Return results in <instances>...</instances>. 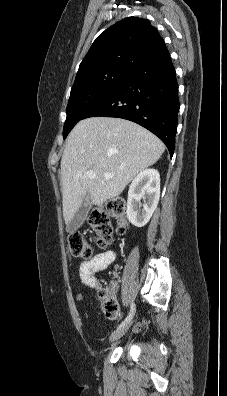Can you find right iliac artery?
<instances>
[{
	"label": "right iliac artery",
	"instance_id": "82829eb1",
	"mask_svg": "<svg viewBox=\"0 0 227 396\" xmlns=\"http://www.w3.org/2000/svg\"><path fill=\"white\" fill-rule=\"evenodd\" d=\"M135 311H136L135 304L132 303V304H131V307H130V312H129V314H128L127 317L124 319V321H122V323L119 325L118 328H121V327H123L124 325H126L128 322H130V320L133 318V316H134V314H135Z\"/></svg>",
	"mask_w": 227,
	"mask_h": 396
}]
</instances>
